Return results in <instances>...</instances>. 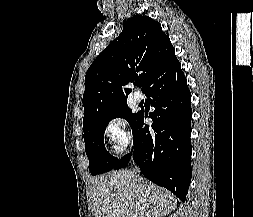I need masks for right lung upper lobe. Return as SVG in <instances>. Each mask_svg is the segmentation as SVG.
<instances>
[{
	"label": "right lung upper lobe",
	"instance_id": "cb5924a9",
	"mask_svg": "<svg viewBox=\"0 0 253 217\" xmlns=\"http://www.w3.org/2000/svg\"><path fill=\"white\" fill-rule=\"evenodd\" d=\"M177 61L174 47L158 22L144 15L131 17L119 37L98 55L86 73L83 123L125 103L123 85L139 77L145 92L152 80Z\"/></svg>",
	"mask_w": 253,
	"mask_h": 217
}]
</instances>
